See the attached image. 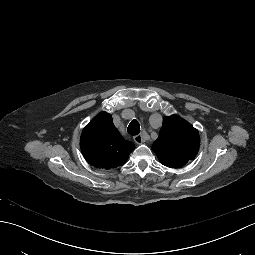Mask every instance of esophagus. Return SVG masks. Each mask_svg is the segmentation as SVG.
<instances>
[{
  "label": "esophagus",
  "instance_id": "esophagus-1",
  "mask_svg": "<svg viewBox=\"0 0 255 255\" xmlns=\"http://www.w3.org/2000/svg\"><path fill=\"white\" fill-rule=\"evenodd\" d=\"M134 141L137 143V144H142L144 141H143V136L141 134H138L136 136H134Z\"/></svg>",
  "mask_w": 255,
  "mask_h": 255
}]
</instances>
